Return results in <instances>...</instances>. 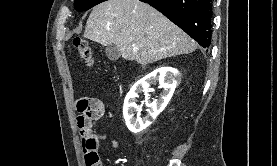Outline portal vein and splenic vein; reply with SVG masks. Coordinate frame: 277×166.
<instances>
[{
	"label": "portal vein and splenic vein",
	"mask_w": 277,
	"mask_h": 166,
	"mask_svg": "<svg viewBox=\"0 0 277 166\" xmlns=\"http://www.w3.org/2000/svg\"><path fill=\"white\" fill-rule=\"evenodd\" d=\"M133 51H134V52H137V51H138V49H137L136 47H134V48H133Z\"/></svg>",
	"instance_id": "obj_1"
}]
</instances>
